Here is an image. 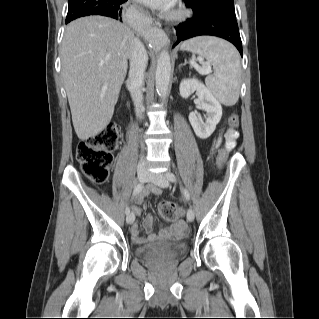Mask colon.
Listing matches in <instances>:
<instances>
[{
	"instance_id": "5ec220e1",
	"label": "colon",
	"mask_w": 319,
	"mask_h": 319,
	"mask_svg": "<svg viewBox=\"0 0 319 319\" xmlns=\"http://www.w3.org/2000/svg\"><path fill=\"white\" fill-rule=\"evenodd\" d=\"M229 126L235 131L239 126L237 114L232 113L229 117ZM119 138V128L109 123L99 133L81 141L77 146V159L82 172L95 184H103L109 177V168L113 162L114 150ZM234 139V136H231ZM226 150L221 148L218 154V164L223 165ZM159 211L163 218L176 221L180 216L181 209L175 201H165L159 204Z\"/></svg>"
}]
</instances>
